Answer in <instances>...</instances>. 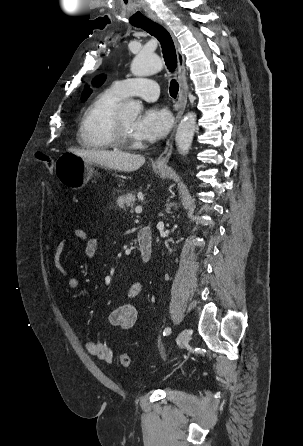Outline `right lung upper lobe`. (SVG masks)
<instances>
[{"instance_id": "cb5924a9", "label": "right lung upper lobe", "mask_w": 303, "mask_h": 446, "mask_svg": "<svg viewBox=\"0 0 303 446\" xmlns=\"http://www.w3.org/2000/svg\"><path fill=\"white\" fill-rule=\"evenodd\" d=\"M104 80H105L104 76H99L93 80L92 84L95 86H100L104 82ZM91 92L92 90L88 86H86L85 91L82 94V100H85L90 95Z\"/></svg>"}]
</instances>
